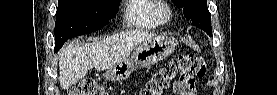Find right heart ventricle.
Segmentation results:
<instances>
[{
	"label": "right heart ventricle",
	"mask_w": 277,
	"mask_h": 95,
	"mask_svg": "<svg viewBox=\"0 0 277 95\" xmlns=\"http://www.w3.org/2000/svg\"><path fill=\"white\" fill-rule=\"evenodd\" d=\"M155 0H127L125 9V22L128 28L150 29L156 27L150 11L155 5Z\"/></svg>",
	"instance_id": "right-heart-ventricle-1"
}]
</instances>
